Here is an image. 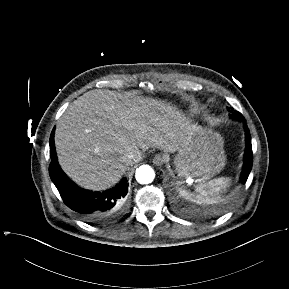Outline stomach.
Returning a JSON list of instances; mask_svg holds the SVG:
<instances>
[{
  "instance_id": "0dacf381",
  "label": "stomach",
  "mask_w": 289,
  "mask_h": 289,
  "mask_svg": "<svg viewBox=\"0 0 289 289\" xmlns=\"http://www.w3.org/2000/svg\"><path fill=\"white\" fill-rule=\"evenodd\" d=\"M223 137L211 129L192 125L174 158L180 175L209 179L225 166Z\"/></svg>"
}]
</instances>
